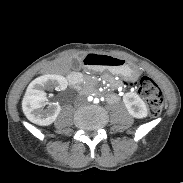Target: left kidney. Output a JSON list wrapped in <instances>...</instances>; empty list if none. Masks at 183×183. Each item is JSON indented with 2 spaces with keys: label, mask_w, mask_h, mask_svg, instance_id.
Segmentation results:
<instances>
[{
  "label": "left kidney",
  "mask_w": 183,
  "mask_h": 183,
  "mask_svg": "<svg viewBox=\"0 0 183 183\" xmlns=\"http://www.w3.org/2000/svg\"><path fill=\"white\" fill-rule=\"evenodd\" d=\"M123 102L129 114L134 118L142 119L147 117V106L138 94L134 92L126 93L123 96Z\"/></svg>",
  "instance_id": "1"
}]
</instances>
